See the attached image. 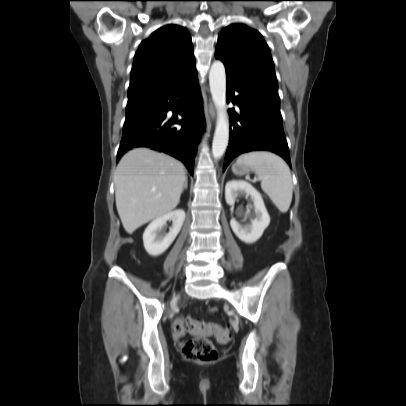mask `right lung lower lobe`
<instances>
[{"label": "right lung lower lobe", "mask_w": 406, "mask_h": 406, "mask_svg": "<svg viewBox=\"0 0 406 406\" xmlns=\"http://www.w3.org/2000/svg\"><path fill=\"white\" fill-rule=\"evenodd\" d=\"M152 101L151 117L123 129L117 159L133 148L146 147L182 161L193 175L196 148L204 126L197 74ZM177 115L182 120H177Z\"/></svg>", "instance_id": "obj_1"}]
</instances>
